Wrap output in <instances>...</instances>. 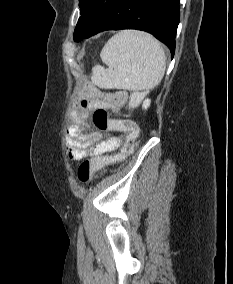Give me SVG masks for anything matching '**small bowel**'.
Returning <instances> with one entry per match:
<instances>
[{"label":"small bowel","mask_w":233,"mask_h":284,"mask_svg":"<svg viewBox=\"0 0 233 284\" xmlns=\"http://www.w3.org/2000/svg\"><path fill=\"white\" fill-rule=\"evenodd\" d=\"M127 98L128 94L124 91H103L91 84H86L78 90L73 102L67 138V154L71 160L103 156L120 147V136L102 140L99 132L85 133L84 130L91 111L97 108L116 111L126 104ZM123 121L129 125H136L132 121Z\"/></svg>","instance_id":"c3829d8e"}]
</instances>
